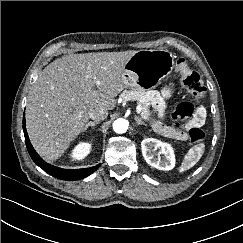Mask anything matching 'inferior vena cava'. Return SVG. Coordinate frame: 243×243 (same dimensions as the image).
<instances>
[{
    "instance_id": "obj_1",
    "label": "inferior vena cava",
    "mask_w": 243,
    "mask_h": 243,
    "mask_svg": "<svg viewBox=\"0 0 243 243\" xmlns=\"http://www.w3.org/2000/svg\"><path fill=\"white\" fill-rule=\"evenodd\" d=\"M108 116V110L104 107H97L89 111V117L94 121L104 120Z\"/></svg>"
}]
</instances>
